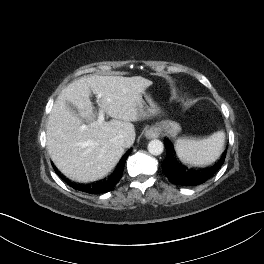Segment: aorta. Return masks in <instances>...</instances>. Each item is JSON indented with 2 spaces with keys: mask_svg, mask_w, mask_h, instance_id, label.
<instances>
[{
  "mask_svg": "<svg viewBox=\"0 0 264 264\" xmlns=\"http://www.w3.org/2000/svg\"><path fill=\"white\" fill-rule=\"evenodd\" d=\"M163 150H164V145L158 139L151 140L148 144V151L152 155L158 156L162 154Z\"/></svg>",
  "mask_w": 264,
  "mask_h": 264,
  "instance_id": "762f6f07",
  "label": "aorta"
}]
</instances>
